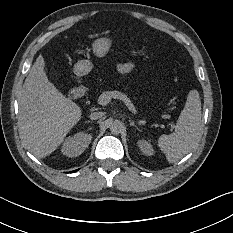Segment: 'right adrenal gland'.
I'll use <instances>...</instances> for the list:
<instances>
[{"instance_id": "obj_1", "label": "right adrenal gland", "mask_w": 233, "mask_h": 233, "mask_svg": "<svg viewBox=\"0 0 233 233\" xmlns=\"http://www.w3.org/2000/svg\"><path fill=\"white\" fill-rule=\"evenodd\" d=\"M86 123H91V121L90 120H87V121H85Z\"/></svg>"}]
</instances>
